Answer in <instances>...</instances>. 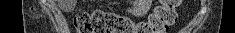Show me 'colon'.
Masks as SVG:
<instances>
[{
  "mask_svg": "<svg viewBox=\"0 0 235 33\" xmlns=\"http://www.w3.org/2000/svg\"><path fill=\"white\" fill-rule=\"evenodd\" d=\"M179 4L180 0L160 1L148 19L137 24L114 12H80L74 17L73 27L77 33H165L176 21L175 8Z\"/></svg>",
  "mask_w": 235,
  "mask_h": 33,
  "instance_id": "5ec220e1",
  "label": "colon"
}]
</instances>
